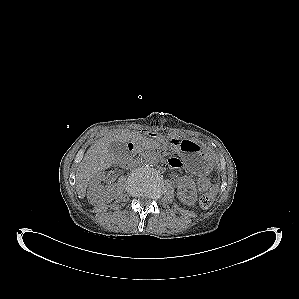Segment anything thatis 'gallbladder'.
<instances>
[{
    "label": "gallbladder",
    "instance_id": "1",
    "mask_svg": "<svg viewBox=\"0 0 299 299\" xmlns=\"http://www.w3.org/2000/svg\"><path fill=\"white\" fill-rule=\"evenodd\" d=\"M109 152L117 155L124 154L126 152V145L121 142H112L109 146Z\"/></svg>",
    "mask_w": 299,
    "mask_h": 299
}]
</instances>
